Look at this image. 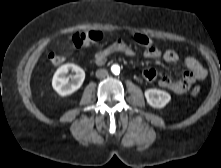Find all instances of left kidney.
Listing matches in <instances>:
<instances>
[{"mask_svg": "<svg viewBox=\"0 0 221 168\" xmlns=\"http://www.w3.org/2000/svg\"><path fill=\"white\" fill-rule=\"evenodd\" d=\"M147 103L153 108H163L171 100L169 93L159 89H147L145 91Z\"/></svg>", "mask_w": 221, "mask_h": 168, "instance_id": "obj_1", "label": "left kidney"}]
</instances>
